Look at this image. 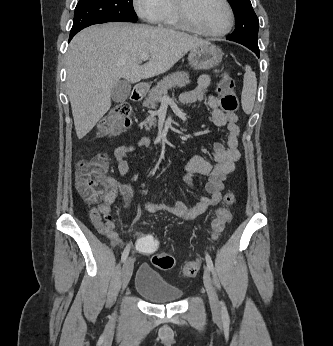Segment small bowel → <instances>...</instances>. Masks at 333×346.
I'll return each mask as SVG.
<instances>
[{
    "instance_id": "obj_1",
    "label": "small bowel",
    "mask_w": 333,
    "mask_h": 346,
    "mask_svg": "<svg viewBox=\"0 0 333 346\" xmlns=\"http://www.w3.org/2000/svg\"><path fill=\"white\" fill-rule=\"evenodd\" d=\"M209 85L210 77L203 74L198 78L195 88L184 92L180 96V102L182 104H193L206 97L214 124L217 127L227 130V145L225 146L218 142L213 144V164L201 156H192L185 163L186 173L184 175V182L189 188H195V175L199 174L208 177V181L204 187L205 195H202L200 200L192 207H187L182 202L173 204L147 202L145 203V209L148 212L166 211L185 219H194L202 215L208 208L217 205L221 200L224 182L234 171L235 162L241 156L239 147L240 130L237 124V114L224 112L220 108L219 100L214 95L208 93ZM150 143L149 138H140L135 144H122L116 147L114 159L119 174L126 176L129 173L127 156L133 153L137 147L148 146ZM111 182V190L105 201L91 208L90 220L97 231L108 238L111 244L124 246L125 242L115 231V225L112 219V207L118 194H122L121 202H129L132 196V189L117 182ZM128 245L131 248V244L129 243ZM127 246L119 247L118 253L128 254L129 248Z\"/></svg>"
}]
</instances>
